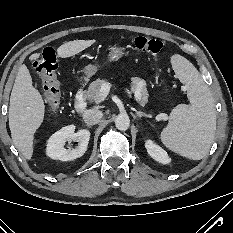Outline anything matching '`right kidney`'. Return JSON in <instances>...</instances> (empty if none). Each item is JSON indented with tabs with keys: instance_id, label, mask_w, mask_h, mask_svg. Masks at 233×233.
Instances as JSON below:
<instances>
[{
	"instance_id": "right-kidney-1",
	"label": "right kidney",
	"mask_w": 233,
	"mask_h": 233,
	"mask_svg": "<svg viewBox=\"0 0 233 233\" xmlns=\"http://www.w3.org/2000/svg\"><path fill=\"white\" fill-rule=\"evenodd\" d=\"M75 131V126L63 127L54 133L48 140L46 154L52 159L61 161H71L84 155L90 139V132L86 129ZM67 141H76L78 146L74 149H66L64 145Z\"/></svg>"
}]
</instances>
